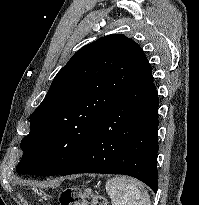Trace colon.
<instances>
[{
	"label": "colon",
	"mask_w": 199,
	"mask_h": 205,
	"mask_svg": "<svg viewBox=\"0 0 199 205\" xmlns=\"http://www.w3.org/2000/svg\"><path fill=\"white\" fill-rule=\"evenodd\" d=\"M59 205H108V203L105 197L95 195L90 190L66 188L59 195Z\"/></svg>",
	"instance_id": "colon-1"
}]
</instances>
